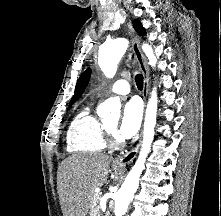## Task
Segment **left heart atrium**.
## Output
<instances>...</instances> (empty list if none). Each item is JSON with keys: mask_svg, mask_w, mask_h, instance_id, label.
<instances>
[{"mask_svg": "<svg viewBox=\"0 0 221 216\" xmlns=\"http://www.w3.org/2000/svg\"><path fill=\"white\" fill-rule=\"evenodd\" d=\"M142 120V107L140 103L133 99L127 102L122 111L120 123L118 125V135L122 138H131L139 130Z\"/></svg>", "mask_w": 221, "mask_h": 216, "instance_id": "39dd6f15", "label": "left heart atrium"}]
</instances>
